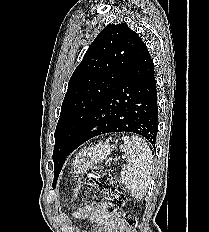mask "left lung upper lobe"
I'll list each match as a JSON object with an SVG mask.
<instances>
[{
    "label": "left lung upper lobe",
    "instance_id": "1",
    "mask_svg": "<svg viewBox=\"0 0 209 232\" xmlns=\"http://www.w3.org/2000/svg\"><path fill=\"white\" fill-rule=\"evenodd\" d=\"M140 41L126 23L109 24L89 46L62 103L54 134V180L70 154L75 134L127 73Z\"/></svg>",
    "mask_w": 209,
    "mask_h": 232
}]
</instances>
